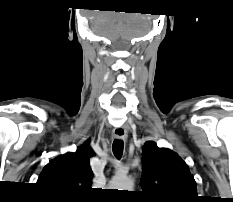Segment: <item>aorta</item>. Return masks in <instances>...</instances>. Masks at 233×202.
Masks as SVG:
<instances>
[{
	"instance_id": "1",
	"label": "aorta",
	"mask_w": 233,
	"mask_h": 202,
	"mask_svg": "<svg viewBox=\"0 0 233 202\" xmlns=\"http://www.w3.org/2000/svg\"><path fill=\"white\" fill-rule=\"evenodd\" d=\"M133 181L127 176H116L111 181V187L118 190H131L133 188Z\"/></svg>"
}]
</instances>
